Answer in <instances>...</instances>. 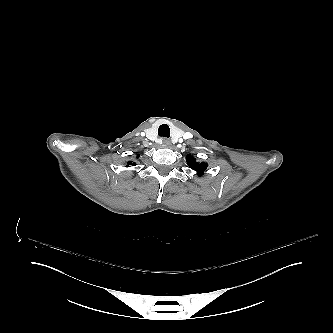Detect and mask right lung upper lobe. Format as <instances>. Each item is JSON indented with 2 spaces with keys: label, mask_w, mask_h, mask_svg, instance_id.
<instances>
[{
  "label": "right lung upper lobe",
  "mask_w": 333,
  "mask_h": 333,
  "mask_svg": "<svg viewBox=\"0 0 333 333\" xmlns=\"http://www.w3.org/2000/svg\"><path fill=\"white\" fill-rule=\"evenodd\" d=\"M130 165L135 166V163H133L132 161H128L126 167H129Z\"/></svg>",
  "instance_id": "cb5924a9"
}]
</instances>
